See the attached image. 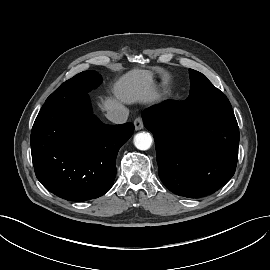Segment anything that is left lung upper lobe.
<instances>
[{
  "instance_id": "left-lung-upper-lobe-1",
  "label": "left lung upper lobe",
  "mask_w": 270,
  "mask_h": 270,
  "mask_svg": "<svg viewBox=\"0 0 270 270\" xmlns=\"http://www.w3.org/2000/svg\"><path fill=\"white\" fill-rule=\"evenodd\" d=\"M190 91L198 96V103L204 111L232 109L227 97L202 73L189 69Z\"/></svg>"
}]
</instances>
